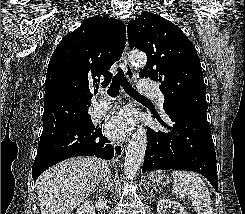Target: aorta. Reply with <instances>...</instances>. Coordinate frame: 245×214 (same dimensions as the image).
<instances>
[{
  "instance_id": "obj_1",
  "label": "aorta",
  "mask_w": 245,
  "mask_h": 214,
  "mask_svg": "<svg viewBox=\"0 0 245 214\" xmlns=\"http://www.w3.org/2000/svg\"><path fill=\"white\" fill-rule=\"evenodd\" d=\"M129 62L137 67L145 66L147 57L143 52L132 51L129 54ZM147 146V132L140 125L127 146L126 157L124 162L125 176L128 180L134 179L139 172L144 160Z\"/></svg>"
}]
</instances>
